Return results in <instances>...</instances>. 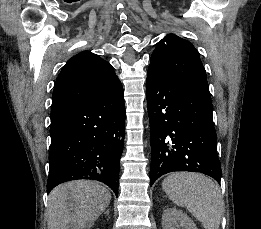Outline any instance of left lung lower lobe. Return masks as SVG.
<instances>
[{
    "label": "left lung lower lobe",
    "instance_id": "left-lung-lower-lobe-1",
    "mask_svg": "<svg viewBox=\"0 0 261 229\" xmlns=\"http://www.w3.org/2000/svg\"><path fill=\"white\" fill-rule=\"evenodd\" d=\"M146 98L151 132L150 185L176 171L221 180L208 84L148 70Z\"/></svg>",
    "mask_w": 261,
    "mask_h": 229
}]
</instances>
